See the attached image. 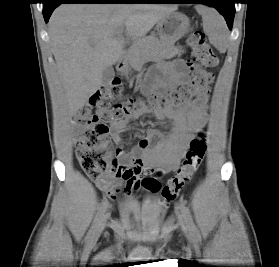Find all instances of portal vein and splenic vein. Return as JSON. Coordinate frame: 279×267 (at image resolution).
Returning <instances> with one entry per match:
<instances>
[{"label":"portal vein and splenic vein","instance_id":"portal-vein-and-splenic-vein-1","mask_svg":"<svg viewBox=\"0 0 279 267\" xmlns=\"http://www.w3.org/2000/svg\"><path fill=\"white\" fill-rule=\"evenodd\" d=\"M123 31H124V28H123V27L118 28V29H117V31H116V35H120V34H122V33H123Z\"/></svg>","mask_w":279,"mask_h":267}]
</instances>
